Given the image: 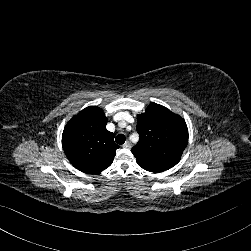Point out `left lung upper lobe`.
Returning <instances> with one entry per match:
<instances>
[{
	"label": "left lung upper lobe",
	"mask_w": 251,
	"mask_h": 251,
	"mask_svg": "<svg viewBox=\"0 0 251 251\" xmlns=\"http://www.w3.org/2000/svg\"><path fill=\"white\" fill-rule=\"evenodd\" d=\"M139 142L132 148L138 164L168 170L181 159L188 143L185 121L166 107L151 103L137 116Z\"/></svg>",
	"instance_id": "5c2ea615"
}]
</instances>
